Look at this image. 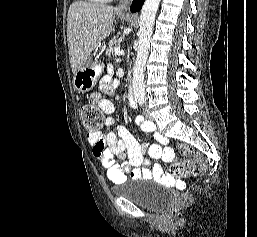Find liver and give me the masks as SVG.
Listing matches in <instances>:
<instances>
[{
    "label": "liver",
    "mask_w": 257,
    "mask_h": 237,
    "mask_svg": "<svg viewBox=\"0 0 257 237\" xmlns=\"http://www.w3.org/2000/svg\"><path fill=\"white\" fill-rule=\"evenodd\" d=\"M112 6L82 1L73 2L68 10L67 40L73 74L83 65L113 27Z\"/></svg>",
    "instance_id": "1"
}]
</instances>
